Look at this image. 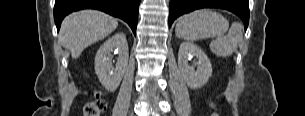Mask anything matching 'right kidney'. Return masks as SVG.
<instances>
[{"label": "right kidney", "mask_w": 305, "mask_h": 116, "mask_svg": "<svg viewBox=\"0 0 305 116\" xmlns=\"http://www.w3.org/2000/svg\"><path fill=\"white\" fill-rule=\"evenodd\" d=\"M113 50L118 52L115 68L111 61ZM128 57L126 35L122 32L116 33L107 39L97 51L95 56V72L101 84L108 91L114 92L118 88L128 65Z\"/></svg>", "instance_id": "1"}]
</instances>
